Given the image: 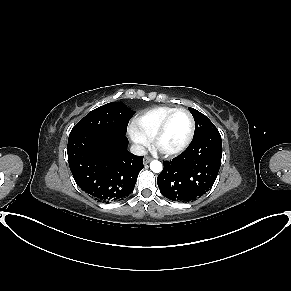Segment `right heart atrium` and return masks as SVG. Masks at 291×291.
Masks as SVG:
<instances>
[{"instance_id":"obj_1","label":"right heart atrium","mask_w":291,"mask_h":291,"mask_svg":"<svg viewBox=\"0 0 291 291\" xmlns=\"http://www.w3.org/2000/svg\"><path fill=\"white\" fill-rule=\"evenodd\" d=\"M128 133L133 142L140 148L149 144V139L134 125H131L128 129Z\"/></svg>"}]
</instances>
